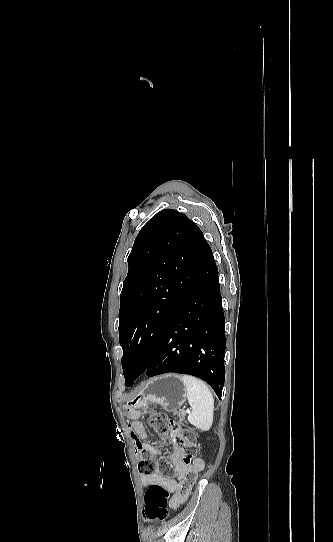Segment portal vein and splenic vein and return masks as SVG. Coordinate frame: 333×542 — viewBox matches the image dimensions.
<instances>
[{
    "label": "portal vein and splenic vein",
    "instance_id": "18ae733b",
    "mask_svg": "<svg viewBox=\"0 0 333 542\" xmlns=\"http://www.w3.org/2000/svg\"><path fill=\"white\" fill-rule=\"evenodd\" d=\"M186 412H191V410H186Z\"/></svg>",
    "mask_w": 333,
    "mask_h": 542
}]
</instances>
